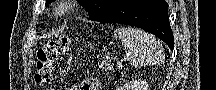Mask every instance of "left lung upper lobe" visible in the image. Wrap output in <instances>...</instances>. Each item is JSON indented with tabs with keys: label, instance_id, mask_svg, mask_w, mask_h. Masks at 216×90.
<instances>
[{
	"label": "left lung upper lobe",
	"instance_id": "1",
	"mask_svg": "<svg viewBox=\"0 0 216 90\" xmlns=\"http://www.w3.org/2000/svg\"><path fill=\"white\" fill-rule=\"evenodd\" d=\"M53 0H46V5ZM125 0H78L89 14L88 20L95 19L101 13L120 5Z\"/></svg>",
	"mask_w": 216,
	"mask_h": 90
}]
</instances>
